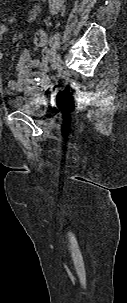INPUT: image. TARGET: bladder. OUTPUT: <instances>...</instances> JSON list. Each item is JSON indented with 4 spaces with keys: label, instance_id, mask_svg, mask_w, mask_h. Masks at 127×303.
Instances as JSON below:
<instances>
[{
    "label": "bladder",
    "instance_id": "31cf9c89",
    "mask_svg": "<svg viewBox=\"0 0 127 303\" xmlns=\"http://www.w3.org/2000/svg\"><path fill=\"white\" fill-rule=\"evenodd\" d=\"M9 102L15 110L29 115L41 117L44 114L45 102L33 93L13 96Z\"/></svg>",
    "mask_w": 127,
    "mask_h": 303
}]
</instances>
